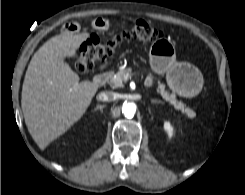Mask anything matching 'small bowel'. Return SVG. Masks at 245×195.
<instances>
[{"label":"small bowel","instance_id":"small-bowel-1","mask_svg":"<svg viewBox=\"0 0 245 195\" xmlns=\"http://www.w3.org/2000/svg\"><path fill=\"white\" fill-rule=\"evenodd\" d=\"M92 27L99 31H107L110 28V24L105 19L97 18L92 21ZM78 30H79V24L76 22H68L63 27V31L67 35L74 34L78 32Z\"/></svg>","mask_w":245,"mask_h":195}]
</instances>
